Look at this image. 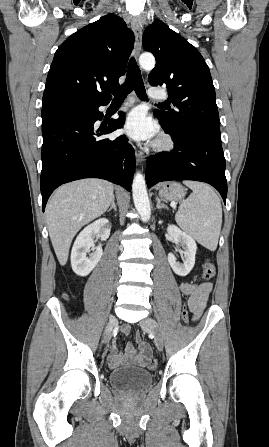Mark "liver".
<instances>
[{"mask_svg":"<svg viewBox=\"0 0 269 447\" xmlns=\"http://www.w3.org/2000/svg\"><path fill=\"white\" fill-rule=\"evenodd\" d=\"M114 186L105 180H77L54 192L46 208L48 231L61 265L71 241L83 225L102 216L113 200Z\"/></svg>","mask_w":269,"mask_h":447,"instance_id":"liver-1","label":"liver"}]
</instances>
